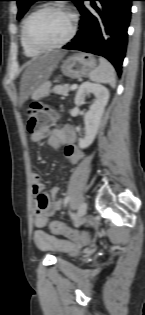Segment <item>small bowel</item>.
Wrapping results in <instances>:
<instances>
[{
    "label": "small bowel",
    "instance_id": "1",
    "mask_svg": "<svg viewBox=\"0 0 145 315\" xmlns=\"http://www.w3.org/2000/svg\"><path fill=\"white\" fill-rule=\"evenodd\" d=\"M48 139L53 149H64L66 157L72 164H77L82 158V153L74 144L75 133L71 126L66 125L52 131L42 129L31 135L30 147H37L38 142ZM32 193L36 196L35 203V226L38 228L33 233L34 244L42 250L60 249L64 251L76 250L79 243L86 242V238L79 240H64L55 235H50L42 230L47 226L50 218L62 208V202L57 199L58 187H52L47 194L43 193V184L38 172L31 173Z\"/></svg>",
    "mask_w": 145,
    "mask_h": 315
}]
</instances>
